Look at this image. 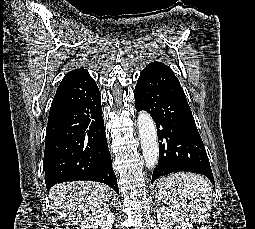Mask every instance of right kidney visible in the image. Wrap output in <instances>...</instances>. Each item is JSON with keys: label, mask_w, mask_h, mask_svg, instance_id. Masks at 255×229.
I'll use <instances>...</instances> for the list:
<instances>
[{"label": "right kidney", "mask_w": 255, "mask_h": 229, "mask_svg": "<svg viewBox=\"0 0 255 229\" xmlns=\"http://www.w3.org/2000/svg\"><path fill=\"white\" fill-rule=\"evenodd\" d=\"M115 216L109 208L94 210L81 222V229H111Z\"/></svg>", "instance_id": "ca27d5eb"}]
</instances>
